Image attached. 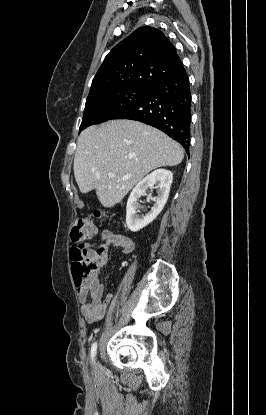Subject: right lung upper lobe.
I'll use <instances>...</instances> for the list:
<instances>
[{"label": "right lung upper lobe", "mask_w": 266, "mask_h": 415, "mask_svg": "<svg viewBox=\"0 0 266 415\" xmlns=\"http://www.w3.org/2000/svg\"><path fill=\"white\" fill-rule=\"evenodd\" d=\"M182 71L183 64L169 39L160 30L144 26L108 53L89 95L120 87L150 89Z\"/></svg>", "instance_id": "cb5924a9"}]
</instances>
